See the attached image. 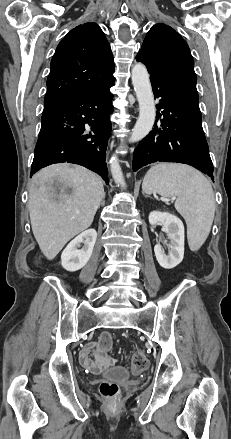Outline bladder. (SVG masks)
Returning a JSON list of instances; mask_svg holds the SVG:
<instances>
[{
    "instance_id": "31cf9c89",
    "label": "bladder",
    "mask_w": 231,
    "mask_h": 439,
    "mask_svg": "<svg viewBox=\"0 0 231 439\" xmlns=\"http://www.w3.org/2000/svg\"><path fill=\"white\" fill-rule=\"evenodd\" d=\"M105 377L112 380H124L129 377V372L123 367H114L104 373Z\"/></svg>"
}]
</instances>
